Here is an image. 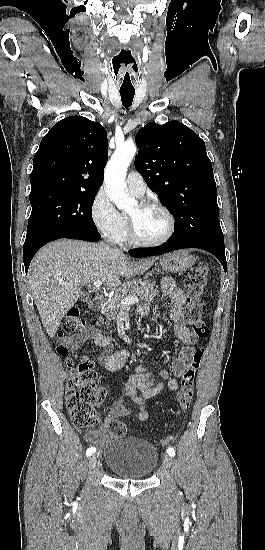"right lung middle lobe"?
<instances>
[{
    "mask_svg": "<svg viewBox=\"0 0 265 550\" xmlns=\"http://www.w3.org/2000/svg\"><path fill=\"white\" fill-rule=\"evenodd\" d=\"M95 196L54 189L31 191L32 212L23 249L64 230L98 232L91 213Z\"/></svg>",
    "mask_w": 265,
    "mask_h": 550,
    "instance_id": "1",
    "label": "right lung middle lobe"
}]
</instances>
